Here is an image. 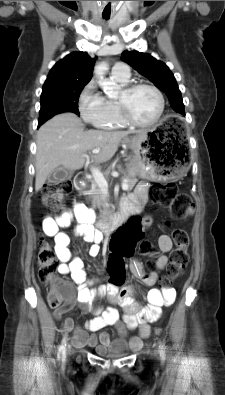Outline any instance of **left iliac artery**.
I'll return each instance as SVG.
<instances>
[{
	"label": "left iliac artery",
	"instance_id": "1",
	"mask_svg": "<svg viewBox=\"0 0 225 395\" xmlns=\"http://www.w3.org/2000/svg\"><path fill=\"white\" fill-rule=\"evenodd\" d=\"M160 348H161V351H162V355H164V348H163V345L160 343Z\"/></svg>",
	"mask_w": 225,
	"mask_h": 395
}]
</instances>
